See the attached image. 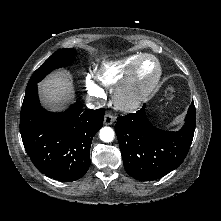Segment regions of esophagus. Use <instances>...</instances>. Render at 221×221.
Returning a JSON list of instances; mask_svg holds the SVG:
<instances>
[{"label":"esophagus","mask_w":221,"mask_h":221,"mask_svg":"<svg viewBox=\"0 0 221 221\" xmlns=\"http://www.w3.org/2000/svg\"><path fill=\"white\" fill-rule=\"evenodd\" d=\"M114 121H115V117L112 114H110V113L105 114L104 124L111 125Z\"/></svg>","instance_id":"34e87169"}]
</instances>
